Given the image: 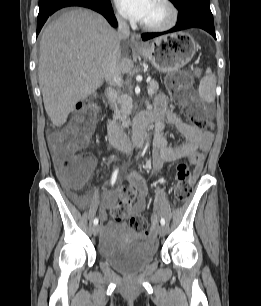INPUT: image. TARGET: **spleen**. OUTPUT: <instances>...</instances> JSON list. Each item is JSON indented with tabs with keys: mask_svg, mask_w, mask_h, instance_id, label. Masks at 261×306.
<instances>
[{
	"mask_svg": "<svg viewBox=\"0 0 261 306\" xmlns=\"http://www.w3.org/2000/svg\"><path fill=\"white\" fill-rule=\"evenodd\" d=\"M216 77L212 74L211 69L207 68L205 76L200 80L199 96L206 102H213L215 99Z\"/></svg>",
	"mask_w": 261,
	"mask_h": 306,
	"instance_id": "1",
	"label": "spleen"
}]
</instances>
